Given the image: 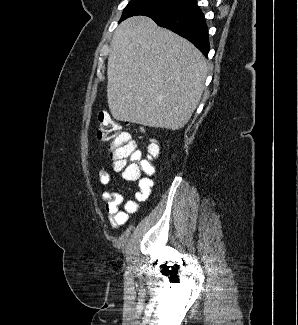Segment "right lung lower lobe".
<instances>
[{"instance_id": "1", "label": "right lung lower lobe", "mask_w": 298, "mask_h": 325, "mask_svg": "<svg viewBox=\"0 0 298 325\" xmlns=\"http://www.w3.org/2000/svg\"><path fill=\"white\" fill-rule=\"evenodd\" d=\"M151 18L159 26L188 39L207 57L210 49L207 26L196 0L177 11Z\"/></svg>"}]
</instances>
